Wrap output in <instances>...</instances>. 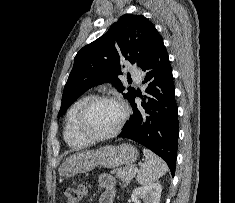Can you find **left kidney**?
I'll list each match as a JSON object with an SVG mask.
<instances>
[{"label":"left kidney","instance_id":"obj_1","mask_svg":"<svg viewBox=\"0 0 235 203\" xmlns=\"http://www.w3.org/2000/svg\"><path fill=\"white\" fill-rule=\"evenodd\" d=\"M162 192L160 183H152L136 188L131 195L134 203H159Z\"/></svg>","mask_w":235,"mask_h":203}]
</instances>
